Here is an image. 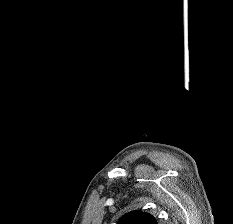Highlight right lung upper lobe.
I'll use <instances>...</instances> for the list:
<instances>
[{
  "label": "right lung upper lobe",
  "instance_id": "obj_1",
  "mask_svg": "<svg viewBox=\"0 0 233 224\" xmlns=\"http://www.w3.org/2000/svg\"><path fill=\"white\" fill-rule=\"evenodd\" d=\"M117 224H158L155 218L145 212L132 211L125 214Z\"/></svg>",
  "mask_w": 233,
  "mask_h": 224
}]
</instances>
